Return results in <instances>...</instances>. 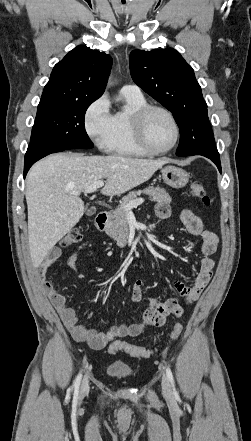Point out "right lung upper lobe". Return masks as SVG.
I'll return each mask as SVG.
<instances>
[{
    "mask_svg": "<svg viewBox=\"0 0 251 441\" xmlns=\"http://www.w3.org/2000/svg\"><path fill=\"white\" fill-rule=\"evenodd\" d=\"M111 66L109 55L77 46L54 66L40 102L99 98L105 90Z\"/></svg>",
    "mask_w": 251,
    "mask_h": 441,
    "instance_id": "obj_1",
    "label": "right lung upper lobe"
}]
</instances>
